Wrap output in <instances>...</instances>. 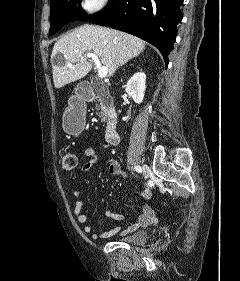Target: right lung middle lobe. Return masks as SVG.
Here are the masks:
<instances>
[{"mask_svg": "<svg viewBox=\"0 0 240 281\" xmlns=\"http://www.w3.org/2000/svg\"><path fill=\"white\" fill-rule=\"evenodd\" d=\"M118 0H109L107 6L100 12L87 16L81 6H76L78 0L50 1V30L49 35L58 31L63 25L71 21L92 22L111 10Z\"/></svg>", "mask_w": 240, "mask_h": 281, "instance_id": "1", "label": "right lung middle lobe"}]
</instances>
